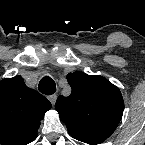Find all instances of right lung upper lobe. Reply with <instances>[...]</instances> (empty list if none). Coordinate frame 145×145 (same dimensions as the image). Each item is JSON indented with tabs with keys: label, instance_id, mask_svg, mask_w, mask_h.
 <instances>
[{
	"label": "right lung upper lobe",
	"instance_id": "right-lung-upper-lobe-1",
	"mask_svg": "<svg viewBox=\"0 0 145 145\" xmlns=\"http://www.w3.org/2000/svg\"><path fill=\"white\" fill-rule=\"evenodd\" d=\"M51 103L28 88L21 76L0 82V144L26 145L36 136Z\"/></svg>",
	"mask_w": 145,
	"mask_h": 145
}]
</instances>
